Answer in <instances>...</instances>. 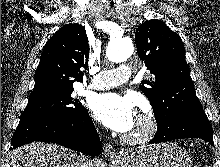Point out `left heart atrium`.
<instances>
[{"label": "left heart atrium", "mask_w": 220, "mask_h": 167, "mask_svg": "<svg viewBox=\"0 0 220 167\" xmlns=\"http://www.w3.org/2000/svg\"><path fill=\"white\" fill-rule=\"evenodd\" d=\"M90 109L97 120L120 133L129 132L137 118L135 100L115 92L96 95L90 102Z\"/></svg>", "instance_id": "obj_1"}]
</instances>
